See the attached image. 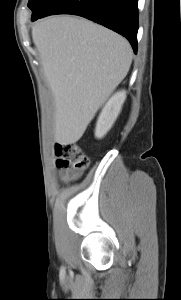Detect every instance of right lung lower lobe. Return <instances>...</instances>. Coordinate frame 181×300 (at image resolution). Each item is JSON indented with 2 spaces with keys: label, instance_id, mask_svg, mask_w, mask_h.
<instances>
[{
  "label": "right lung lower lobe",
  "instance_id": "1",
  "mask_svg": "<svg viewBox=\"0 0 181 300\" xmlns=\"http://www.w3.org/2000/svg\"><path fill=\"white\" fill-rule=\"evenodd\" d=\"M138 0H57L32 21L52 14L88 18L127 38L137 51Z\"/></svg>",
  "mask_w": 181,
  "mask_h": 300
}]
</instances>
